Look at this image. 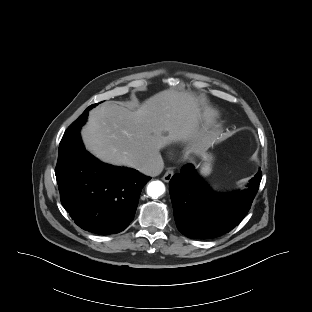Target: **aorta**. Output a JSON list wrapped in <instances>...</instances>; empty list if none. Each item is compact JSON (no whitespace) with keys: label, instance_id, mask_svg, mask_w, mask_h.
<instances>
[{"label":"aorta","instance_id":"1","mask_svg":"<svg viewBox=\"0 0 312 312\" xmlns=\"http://www.w3.org/2000/svg\"><path fill=\"white\" fill-rule=\"evenodd\" d=\"M165 192V185L163 182L156 180L152 181L147 186V194L153 199H157Z\"/></svg>","mask_w":312,"mask_h":312}]
</instances>
